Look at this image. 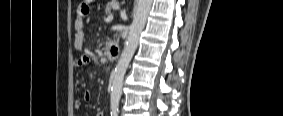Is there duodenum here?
<instances>
[{"label":"duodenum","instance_id":"obj_1","mask_svg":"<svg viewBox=\"0 0 283 116\" xmlns=\"http://www.w3.org/2000/svg\"><path fill=\"white\" fill-rule=\"evenodd\" d=\"M106 50H107V55H108V58L110 60H116L118 55H119V48L112 44V43H109L106 47Z\"/></svg>","mask_w":283,"mask_h":116}]
</instances>
